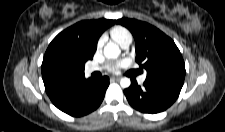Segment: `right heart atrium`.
Listing matches in <instances>:
<instances>
[{
  "label": "right heart atrium",
  "mask_w": 225,
  "mask_h": 132,
  "mask_svg": "<svg viewBox=\"0 0 225 132\" xmlns=\"http://www.w3.org/2000/svg\"><path fill=\"white\" fill-rule=\"evenodd\" d=\"M102 39H99L98 43H97V49H100L102 46Z\"/></svg>",
  "instance_id": "obj_1"
}]
</instances>
